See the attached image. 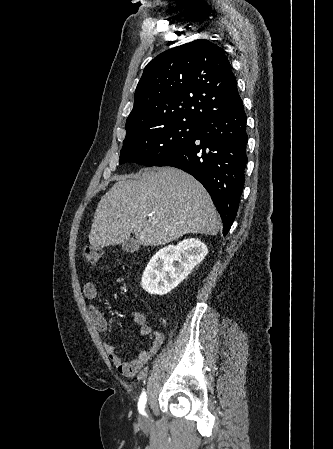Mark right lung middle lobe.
I'll use <instances>...</instances> for the list:
<instances>
[{
	"label": "right lung middle lobe",
	"instance_id": "obj_1",
	"mask_svg": "<svg viewBox=\"0 0 333 449\" xmlns=\"http://www.w3.org/2000/svg\"><path fill=\"white\" fill-rule=\"evenodd\" d=\"M198 128L199 123L174 121L126 139L121 150L120 164L130 162L155 166L190 139Z\"/></svg>",
	"mask_w": 333,
	"mask_h": 449
}]
</instances>
